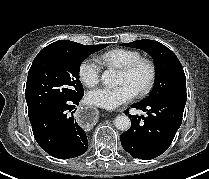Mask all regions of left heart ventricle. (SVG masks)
<instances>
[{
  "label": "left heart ventricle",
  "instance_id": "b2bd125f",
  "mask_svg": "<svg viewBox=\"0 0 209 179\" xmlns=\"http://www.w3.org/2000/svg\"><path fill=\"white\" fill-rule=\"evenodd\" d=\"M148 77L149 71L147 67L141 66L132 75H126L120 72L117 83L119 85L124 83L129 84L135 90V92H137L146 84Z\"/></svg>",
  "mask_w": 209,
  "mask_h": 179
}]
</instances>
